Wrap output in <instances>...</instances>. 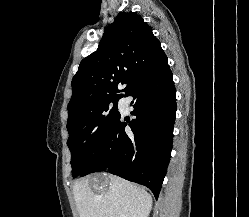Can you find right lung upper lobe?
<instances>
[{
  "instance_id": "1",
  "label": "right lung upper lobe",
  "mask_w": 249,
  "mask_h": 217,
  "mask_svg": "<svg viewBox=\"0 0 249 217\" xmlns=\"http://www.w3.org/2000/svg\"><path fill=\"white\" fill-rule=\"evenodd\" d=\"M161 44L152 28L134 12L120 13L103 35L97 51L84 58L72 80L69 116L101 100L123 97L151 68ZM119 83L126 84L118 90Z\"/></svg>"
}]
</instances>
